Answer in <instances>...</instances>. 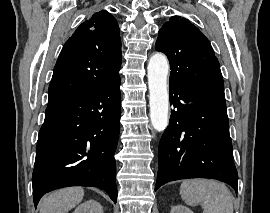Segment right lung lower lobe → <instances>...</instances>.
I'll use <instances>...</instances> for the list:
<instances>
[{
  "mask_svg": "<svg viewBox=\"0 0 270 213\" xmlns=\"http://www.w3.org/2000/svg\"><path fill=\"white\" fill-rule=\"evenodd\" d=\"M120 103V80L48 103L32 175L35 207L45 193L68 186L99 187L116 203Z\"/></svg>",
  "mask_w": 270,
  "mask_h": 213,
  "instance_id": "obj_1",
  "label": "right lung lower lobe"
}]
</instances>
